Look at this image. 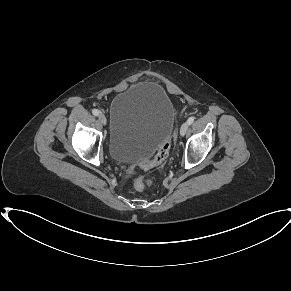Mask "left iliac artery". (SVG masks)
Returning <instances> with one entry per match:
<instances>
[{
  "instance_id": "left-iliac-artery-1",
  "label": "left iliac artery",
  "mask_w": 291,
  "mask_h": 291,
  "mask_svg": "<svg viewBox=\"0 0 291 291\" xmlns=\"http://www.w3.org/2000/svg\"><path fill=\"white\" fill-rule=\"evenodd\" d=\"M194 120H195V117L194 116H191V117H189V119L187 120V122L190 125V124H192L194 122Z\"/></svg>"
}]
</instances>
